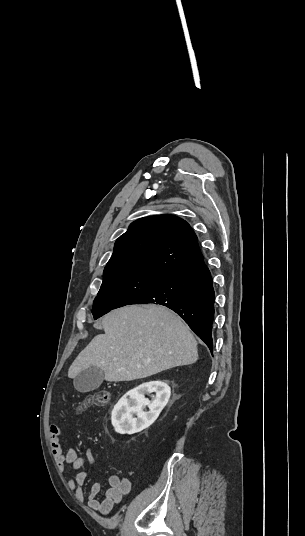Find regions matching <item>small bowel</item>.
I'll use <instances>...</instances> for the list:
<instances>
[{
	"label": "small bowel",
	"mask_w": 305,
	"mask_h": 536,
	"mask_svg": "<svg viewBox=\"0 0 305 536\" xmlns=\"http://www.w3.org/2000/svg\"><path fill=\"white\" fill-rule=\"evenodd\" d=\"M49 430L51 451L59 471L61 473H65L69 469L78 471L74 477L68 478L67 487L75 491L76 497L81 499L83 497L82 487L86 482L88 473L80 471V469L86 463L94 465L95 458L91 451H87L86 455L82 456L73 447L64 452L61 445L59 425L53 423L50 425ZM108 485L109 487L103 497L100 496L101 486L99 483H94L89 491V506L103 515H108L130 493L132 487L128 478H122L117 475H111L108 478Z\"/></svg>",
	"instance_id": "obj_1"
}]
</instances>
